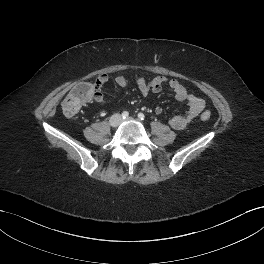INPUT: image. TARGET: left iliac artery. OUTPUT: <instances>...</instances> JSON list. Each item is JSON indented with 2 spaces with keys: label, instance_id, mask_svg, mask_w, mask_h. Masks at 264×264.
Listing matches in <instances>:
<instances>
[{
  "label": "left iliac artery",
  "instance_id": "left-iliac-artery-1",
  "mask_svg": "<svg viewBox=\"0 0 264 264\" xmlns=\"http://www.w3.org/2000/svg\"><path fill=\"white\" fill-rule=\"evenodd\" d=\"M138 118H139L140 120H144V119H145V115H144L143 113H139V114H138Z\"/></svg>",
  "mask_w": 264,
  "mask_h": 264
}]
</instances>
